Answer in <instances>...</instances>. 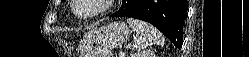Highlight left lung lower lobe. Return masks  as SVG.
I'll return each instance as SVG.
<instances>
[{
  "label": "left lung lower lobe",
  "instance_id": "obj_1",
  "mask_svg": "<svg viewBox=\"0 0 249 57\" xmlns=\"http://www.w3.org/2000/svg\"><path fill=\"white\" fill-rule=\"evenodd\" d=\"M186 0H123L111 17H133L157 27L176 47L182 44Z\"/></svg>",
  "mask_w": 249,
  "mask_h": 57
}]
</instances>
